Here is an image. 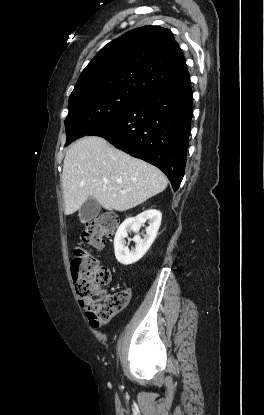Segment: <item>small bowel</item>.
I'll return each mask as SVG.
<instances>
[{
	"label": "small bowel",
	"instance_id": "small-bowel-1",
	"mask_svg": "<svg viewBox=\"0 0 264 415\" xmlns=\"http://www.w3.org/2000/svg\"><path fill=\"white\" fill-rule=\"evenodd\" d=\"M72 280L75 284H77L80 280V274L72 273Z\"/></svg>",
	"mask_w": 264,
	"mask_h": 415
}]
</instances>
